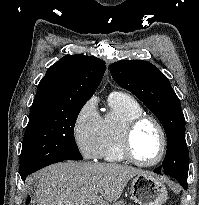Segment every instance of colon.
<instances>
[{
  "label": "colon",
  "mask_w": 199,
  "mask_h": 205,
  "mask_svg": "<svg viewBox=\"0 0 199 205\" xmlns=\"http://www.w3.org/2000/svg\"><path fill=\"white\" fill-rule=\"evenodd\" d=\"M30 204H31L30 201H28V202H27V205H30Z\"/></svg>",
  "instance_id": "5ec220e1"
}]
</instances>
